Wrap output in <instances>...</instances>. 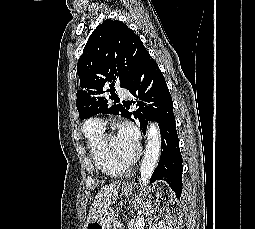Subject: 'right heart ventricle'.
Segmentation results:
<instances>
[{
  "label": "right heart ventricle",
  "mask_w": 255,
  "mask_h": 229,
  "mask_svg": "<svg viewBox=\"0 0 255 229\" xmlns=\"http://www.w3.org/2000/svg\"><path fill=\"white\" fill-rule=\"evenodd\" d=\"M104 128L90 127L89 121H86L83 125V132L87 143V149L90 159L94 166L106 176H118L123 170L116 167L105 157L100 148V141L103 136Z\"/></svg>",
  "instance_id": "1"
}]
</instances>
